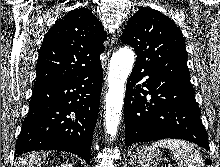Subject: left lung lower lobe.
I'll use <instances>...</instances> for the list:
<instances>
[{"instance_id": "1", "label": "left lung lower lobe", "mask_w": 220, "mask_h": 167, "mask_svg": "<svg viewBox=\"0 0 220 167\" xmlns=\"http://www.w3.org/2000/svg\"><path fill=\"white\" fill-rule=\"evenodd\" d=\"M200 114L190 79L167 76L135 64L124 101L126 146L176 138L209 149Z\"/></svg>"}]
</instances>
